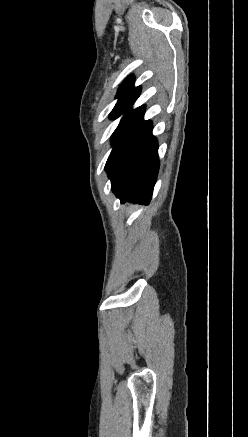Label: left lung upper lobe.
<instances>
[{
    "label": "left lung upper lobe",
    "mask_w": 248,
    "mask_h": 437,
    "mask_svg": "<svg viewBox=\"0 0 248 437\" xmlns=\"http://www.w3.org/2000/svg\"><path fill=\"white\" fill-rule=\"evenodd\" d=\"M140 91V87H134V78L132 76L120 85L116 95L119 98L118 102L110 113L112 119L124 114L119 126L138 109H131V106L140 95Z\"/></svg>",
    "instance_id": "1"
}]
</instances>
